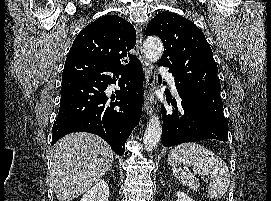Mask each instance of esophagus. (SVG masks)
Here are the masks:
<instances>
[{"instance_id": "1", "label": "esophagus", "mask_w": 271, "mask_h": 201, "mask_svg": "<svg viewBox=\"0 0 271 201\" xmlns=\"http://www.w3.org/2000/svg\"><path fill=\"white\" fill-rule=\"evenodd\" d=\"M136 48H137V54L138 58L141 61V64L144 69L145 74V85H144V110L147 114L151 115L154 109V97H153V87H154V76L152 72V65L151 63L146 59L144 53H143V31L142 27L140 25L136 26Z\"/></svg>"}]
</instances>
